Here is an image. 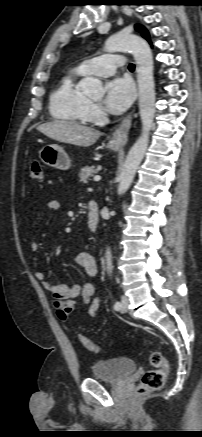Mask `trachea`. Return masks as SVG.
I'll list each match as a JSON object with an SVG mask.
<instances>
[{"instance_id":"1","label":"trachea","mask_w":202,"mask_h":437,"mask_svg":"<svg viewBox=\"0 0 202 437\" xmlns=\"http://www.w3.org/2000/svg\"><path fill=\"white\" fill-rule=\"evenodd\" d=\"M130 70H134L135 69V65L134 64H129V67H128Z\"/></svg>"}]
</instances>
